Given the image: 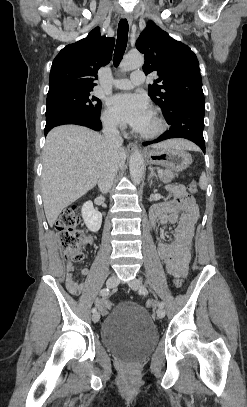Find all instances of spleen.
I'll use <instances>...</instances> for the list:
<instances>
[{"label":"spleen","mask_w":247,"mask_h":407,"mask_svg":"<svg viewBox=\"0 0 247 407\" xmlns=\"http://www.w3.org/2000/svg\"><path fill=\"white\" fill-rule=\"evenodd\" d=\"M199 185L202 190L206 189L207 187V178L204 172L200 176Z\"/></svg>","instance_id":"obj_1"}]
</instances>
